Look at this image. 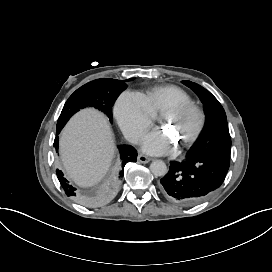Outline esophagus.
<instances>
[{
	"label": "esophagus",
	"instance_id": "1",
	"mask_svg": "<svg viewBox=\"0 0 272 272\" xmlns=\"http://www.w3.org/2000/svg\"><path fill=\"white\" fill-rule=\"evenodd\" d=\"M137 160L140 162V163H149L151 161V158L143 155V154H139L138 157H137Z\"/></svg>",
	"mask_w": 272,
	"mask_h": 272
}]
</instances>
